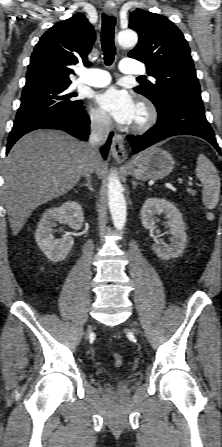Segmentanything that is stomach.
I'll return each mask as SVG.
<instances>
[{
    "mask_svg": "<svg viewBox=\"0 0 222 447\" xmlns=\"http://www.w3.org/2000/svg\"><path fill=\"white\" fill-rule=\"evenodd\" d=\"M174 164L175 161L168 151L151 147L133 157L126 169L138 180H159L172 172Z\"/></svg>",
    "mask_w": 222,
    "mask_h": 447,
    "instance_id": "1",
    "label": "stomach"
}]
</instances>
